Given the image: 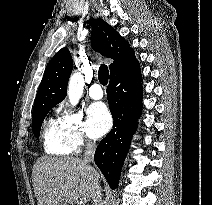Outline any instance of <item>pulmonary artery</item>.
Masks as SVG:
<instances>
[{"instance_id":"obj_1","label":"pulmonary artery","mask_w":212,"mask_h":205,"mask_svg":"<svg viewBox=\"0 0 212 205\" xmlns=\"http://www.w3.org/2000/svg\"><path fill=\"white\" fill-rule=\"evenodd\" d=\"M89 95L93 99H101L103 97V90L99 83H93L90 86Z\"/></svg>"}]
</instances>
